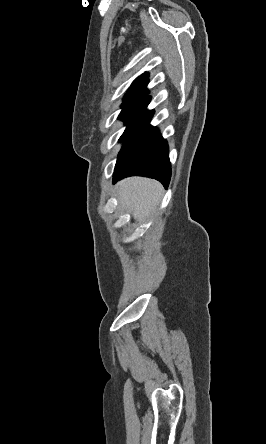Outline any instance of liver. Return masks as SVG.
Returning <instances> with one entry per match:
<instances>
[{
  "mask_svg": "<svg viewBox=\"0 0 266 444\" xmlns=\"http://www.w3.org/2000/svg\"><path fill=\"white\" fill-rule=\"evenodd\" d=\"M162 192L159 182L142 177H131L117 185L119 205L127 208L135 220L149 216L159 204Z\"/></svg>",
  "mask_w": 266,
  "mask_h": 444,
  "instance_id": "6515ba94",
  "label": "liver"
}]
</instances>
